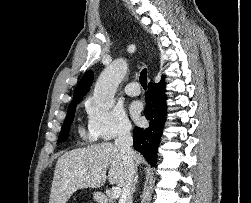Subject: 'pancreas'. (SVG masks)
<instances>
[{"label": "pancreas", "instance_id": "cf45deb5", "mask_svg": "<svg viewBox=\"0 0 251 203\" xmlns=\"http://www.w3.org/2000/svg\"><path fill=\"white\" fill-rule=\"evenodd\" d=\"M109 202H110V203H113V200L110 198V199H109Z\"/></svg>", "mask_w": 251, "mask_h": 203}]
</instances>
